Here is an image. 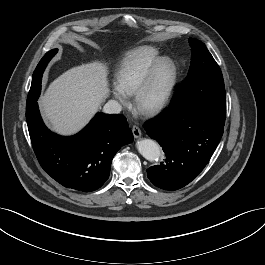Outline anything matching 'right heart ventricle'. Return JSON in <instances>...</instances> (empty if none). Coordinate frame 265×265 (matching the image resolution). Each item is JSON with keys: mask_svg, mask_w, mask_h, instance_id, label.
<instances>
[{"mask_svg": "<svg viewBox=\"0 0 265 265\" xmlns=\"http://www.w3.org/2000/svg\"><path fill=\"white\" fill-rule=\"evenodd\" d=\"M160 58L159 51L152 46H140L130 51L116 73V88L125 96L133 95Z\"/></svg>", "mask_w": 265, "mask_h": 265, "instance_id": "1", "label": "right heart ventricle"}]
</instances>
